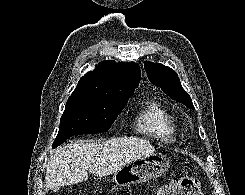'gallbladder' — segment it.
Returning a JSON list of instances; mask_svg holds the SVG:
<instances>
[{"instance_id": "obj_1", "label": "gallbladder", "mask_w": 245, "mask_h": 195, "mask_svg": "<svg viewBox=\"0 0 245 195\" xmlns=\"http://www.w3.org/2000/svg\"><path fill=\"white\" fill-rule=\"evenodd\" d=\"M60 190V188H55L54 192H58Z\"/></svg>"}]
</instances>
